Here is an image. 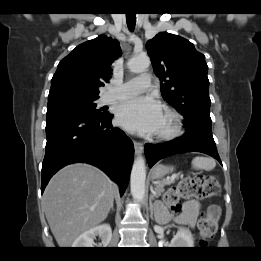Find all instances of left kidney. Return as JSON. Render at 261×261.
<instances>
[{"label":"left kidney","mask_w":261,"mask_h":261,"mask_svg":"<svg viewBox=\"0 0 261 261\" xmlns=\"http://www.w3.org/2000/svg\"><path fill=\"white\" fill-rule=\"evenodd\" d=\"M175 248H191L194 246L193 236L187 229L180 228L170 243Z\"/></svg>","instance_id":"left-kidney-1"}]
</instances>
